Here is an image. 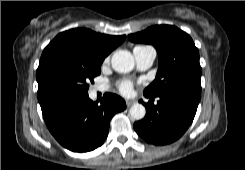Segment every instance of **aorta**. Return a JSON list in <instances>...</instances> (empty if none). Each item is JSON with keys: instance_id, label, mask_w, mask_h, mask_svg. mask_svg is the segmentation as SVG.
Returning a JSON list of instances; mask_svg holds the SVG:
<instances>
[{"instance_id": "aorta-1", "label": "aorta", "mask_w": 245, "mask_h": 170, "mask_svg": "<svg viewBox=\"0 0 245 170\" xmlns=\"http://www.w3.org/2000/svg\"><path fill=\"white\" fill-rule=\"evenodd\" d=\"M112 68L120 73H127L133 70L135 61L132 54L127 50L116 51L111 59ZM130 116L135 120H141L146 114L142 104L135 103L129 110Z\"/></svg>"}]
</instances>
